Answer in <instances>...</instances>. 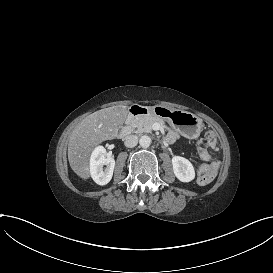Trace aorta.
Returning a JSON list of instances; mask_svg holds the SVG:
<instances>
[{
	"label": "aorta",
	"mask_w": 273,
	"mask_h": 273,
	"mask_svg": "<svg viewBox=\"0 0 273 273\" xmlns=\"http://www.w3.org/2000/svg\"><path fill=\"white\" fill-rule=\"evenodd\" d=\"M151 142H152L151 138L147 135L141 136L139 140V144L143 148L149 147Z\"/></svg>",
	"instance_id": "762f6f07"
}]
</instances>
